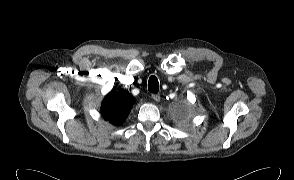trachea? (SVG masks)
<instances>
[{"mask_svg":"<svg viewBox=\"0 0 294 180\" xmlns=\"http://www.w3.org/2000/svg\"><path fill=\"white\" fill-rule=\"evenodd\" d=\"M148 89L152 93H157L159 90L158 80L155 76H151L148 81Z\"/></svg>","mask_w":294,"mask_h":180,"instance_id":"trachea-1","label":"trachea"}]
</instances>
